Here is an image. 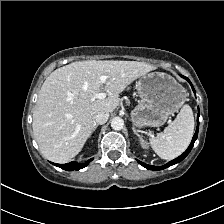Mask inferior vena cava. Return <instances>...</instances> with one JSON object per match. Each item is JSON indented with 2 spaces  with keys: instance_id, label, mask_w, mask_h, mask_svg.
I'll use <instances>...</instances> for the list:
<instances>
[{
  "instance_id": "inferior-vena-cava-1",
  "label": "inferior vena cava",
  "mask_w": 224,
  "mask_h": 224,
  "mask_svg": "<svg viewBox=\"0 0 224 224\" xmlns=\"http://www.w3.org/2000/svg\"><path fill=\"white\" fill-rule=\"evenodd\" d=\"M109 118V113L108 112H105V111H102V112H99L96 114L95 116V122L97 124H104L107 122Z\"/></svg>"
}]
</instances>
